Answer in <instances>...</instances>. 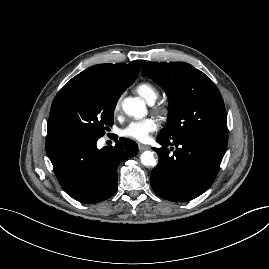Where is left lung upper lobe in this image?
<instances>
[{
    "instance_id": "obj_1",
    "label": "left lung upper lobe",
    "mask_w": 269,
    "mask_h": 269,
    "mask_svg": "<svg viewBox=\"0 0 269 269\" xmlns=\"http://www.w3.org/2000/svg\"><path fill=\"white\" fill-rule=\"evenodd\" d=\"M142 75L160 85L169 97L168 123L158 138L174 140L196 133L227 136L222 96L203 72L184 62H148Z\"/></svg>"
}]
</instances>
